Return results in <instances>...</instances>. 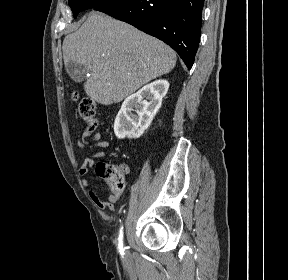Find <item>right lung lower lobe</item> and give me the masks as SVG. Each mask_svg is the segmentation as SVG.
<instances>
[{"label":"right lung lower lobe","mask_w":288,"mask_h":280,"mask_svg":"<svg viewBox=\"0 0 288 280\" xmlns=\"http://www.w3.org/2000/svg\"><path fill=\"white\" fill-rule=\"evenodd\" d=\"M204 0H112L95 7L171 46L190 69L201 33Z\"/></svg>","instance_id":"obj_1"}]
</instances>
